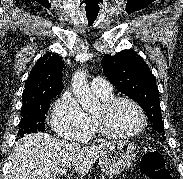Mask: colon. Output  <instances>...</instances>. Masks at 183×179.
I'll use <instances>...</instances> for the list:
<instances>
[{
  "instance_id": "1",
  "label": "colon",
  "mask_w": 183,
  "mask_h": 179,
  "mask_svg": "<svg viewBox=\"0 0 183 179\" xmlns=\"http://www.w3.org/2000/svg\"><path fill=\"white\" fill-rule=\"evenodd\" d=\"M141 171L148 179H172L165 166L162 153L155 148H147L141 159Z\"/></svg>"
}]
</instances>
